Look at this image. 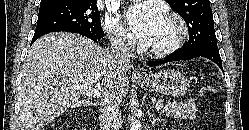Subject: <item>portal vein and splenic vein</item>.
<instances>
[{
  "label": "portal vein and splenic vein",
  "instance_id": "portal-vein-and-splenic-vein-1",
  "mask_svg": "<svg viewBox=\"0 0 249 130\" xmlns=\"http://www.w3.org/2000/svg\"><path fill=\"white\" fill-rule=\"evenodd\" d=\"M77 90L84 94V95H87V96H93V97H98V92L97 91H94L92 88H89V87H85V86H77ZM155 108L156 110H161L164 108V104L163 103H157L155 105Z\"/></svg>",
  "mask_w": 249,
  "mask_h": 130
}]
</instances>
